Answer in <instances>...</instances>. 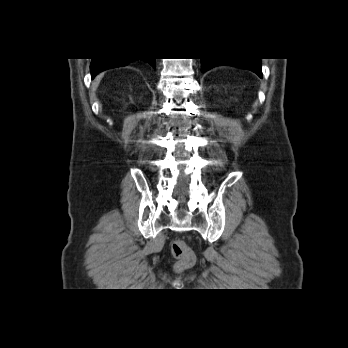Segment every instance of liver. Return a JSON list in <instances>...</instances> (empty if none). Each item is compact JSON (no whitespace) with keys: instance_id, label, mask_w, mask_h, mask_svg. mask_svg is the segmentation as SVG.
<instances>
[{"instance_id":"6515ba94","label":"liver","mask_w":348,"mask_h":348,"mask_svg":"<svg viewBox=\"0 0 348 348\" xmlns=\"http://www.w3.org/2000/svg\"><path fill=\"white\" fill-rule=\"evenodd\" d=\"M102 77H103V74H100L99 76H97V78L95 79V81L92 83V88H93V90H95V89L98 87V85H99L100 80L102 79Z\"/></svg>"}]
</instances>
